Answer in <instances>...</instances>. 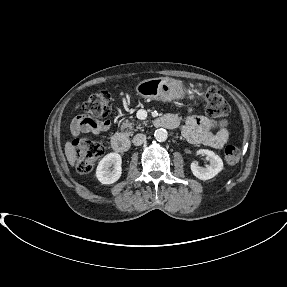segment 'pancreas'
Instances as JSON below:
<instances>
[{
    "label": "pancreas",
    "mask_w": 287,
    "mask_h": 287,
    "mask_svg": "<svg viewBox=\"0 0 287 287\" xmlns=\"http://www.w3.org/2000/svg\"><path fill=\"white\" fill-rule=\"evenodd\" d=\"M121 129H126V134L127 135H132L134 133V131H137L138 129H142L141 124H139L135 129H134V124L131 122H123L121 125Z\"/></svg>",
    "instance_id": "1"
}]
</instances>
